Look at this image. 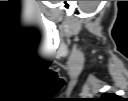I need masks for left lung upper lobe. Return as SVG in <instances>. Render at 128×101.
I'll list each match as a JSON object with an SVG mask.
<instances>
[{
  "mask_svg": "<svg viewBox=\"0 0 128 101\" xmlns=\"http://www.w3.org/2000/svg\"><path fill=\"white\" fill-rule=\"evenodd\" d=\"M116 98L117 96L114 94H104L102 97V99H106V101H115Z\"/></svg>",
  "mask_w": 128,
  "mask_h": 101,
  "instance_id": "obj_1",
  "label": "left lung upper lobe"
}]
</instances>
